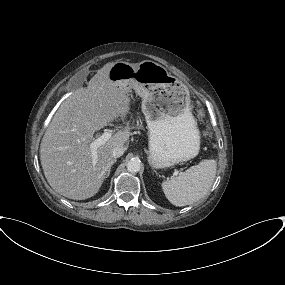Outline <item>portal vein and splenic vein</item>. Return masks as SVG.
Masks as SVG:
<instances>
[{"instance_id":"1","label":"portal vein and splenic vein","mask_w":285,"mask_h":285,"mask_svg":"<svg viewBox=\"0 0 285 285\" xmlns=\"http://www.w3.org/2000/svg\"><path fill=\"white\" fill-rule=\"evenodd\" d=\"M112 136L111 131H106L104 132L100 137H98L97 139H95L93 142L90 143L89 147L91 149V153H92V163L93 166L96 165L97 163V149L104 145ZM177 174V172H176Z\"/></svg>"}]
</instances>
